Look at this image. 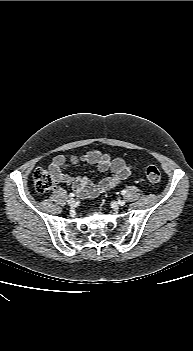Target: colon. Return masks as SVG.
<instances>
[{
    "label": "colon",
    "mask_w": 193,
    "mask_h": 351,
    "mask_svg": "<svg viewBox=\"0 0 193 351\" xmlns=\"http://www.w3.org/2000/svg\"><path fill=\"white\" fill-rule=\"evenodd\" d=\"M146 177L150 182L156 183L161 179V171L155 165H150L146 169ZM33 184L37 192L43 194L56 186L53 176L44 169H36L32 176Z\"/></svg>",
    "instance_id": "1"
}]
</instances>
